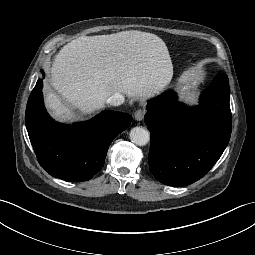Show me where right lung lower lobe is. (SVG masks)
Wrapping results in <instances>:
<instances>
[{
    "mask_svg": "<svg viewBox=\"0 0 255 255\" xmlns=\"http://www.w3.org/2000/svg\"><path fill=\"white\" fill-rule=\"evenodd\" d=\"M39 79L28 99L25 122L40 165L50 175L69 182L91 179L104 165L108 148L127 129L131 115L103 111L72 126L55 122L46 112Z\"/></svg>",
    "mask_w": 255,
    "mask_h": 255,
    "instance_id": "98d812e1",
    "label": "right lung lower lobe"
}]
</instances>
